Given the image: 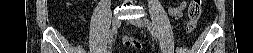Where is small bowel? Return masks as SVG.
<instances>
[{"label": "small bowel", "instance_id": "small-bowel-1", "mask_svg": "<svg viewBox=\"0 0 253 53\" xmlns=\"http://www.w3.org/2000/svg\"><path fill=\"white\" fill-rule=\"evenodd\" d=\"M186 6V2L183 1L179 6H175V7H170L168 9L169 13L174 16V17H178L181 15L183 9L185 8Z\"/></svg>", "mask_w": 253, "mask_h": 53}]
</instances>
